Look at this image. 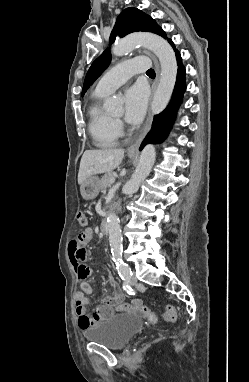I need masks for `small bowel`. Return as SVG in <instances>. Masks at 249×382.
<instances>
[{"label": "small bowel", "instance_id": "small-bowel-1", "mask_svg": "<svg viewBox=\"0 0 249 382\" xmlns=\"http://www.w3.org/2000/svg\"><path fill=\"white\" fill-rule=\"evenodd\" d=\"M92 236V230L86 229L83 235V241H78V236L71 242H68L67 250L69 253L67 254V257L70 259L71 265L74 266V268L75 266H79L81 262L87 261L89 254L86 252V245L91 241ZM85 279H80L81 291L78 292L75 297L77 305L76 312L78 315V326L82 330H86L87 328L95 325L96 323L101 322L111 314V306H106L102 304L95 307L92 315L88 316L87 306L89 304V299L85 295L92 294L93 288ZM108 281L111 284V286L114 287L115 293L120 294L122 296V293L112 275L108 276Z\"/></svg>", "mask_w": 249, "mask_h": 382}]
</instances>
